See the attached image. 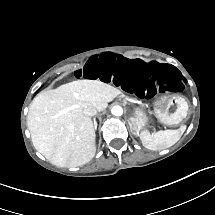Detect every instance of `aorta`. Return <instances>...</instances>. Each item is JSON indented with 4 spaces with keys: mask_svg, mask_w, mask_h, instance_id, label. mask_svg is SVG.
Masks as SVG:
<instances>
[{
    "mask_svg": "<svg viewBox=\"0 0 215 215\" xmlns=\"http://www.w3.org/2000/svg\"><path fill=\"white\" fill-rule=\"evenodd\" d=\"M111 113L116 116H121L123 113V109L120 105L113 106L111 109Z\"/></svg>",
    "mask_w": 215,
    "mask_h": 215,
    "instance_id": "obj_1",
    "label": "aorta"
}]
</instances>
